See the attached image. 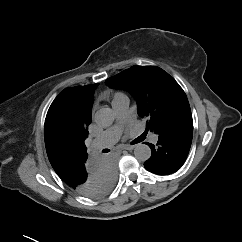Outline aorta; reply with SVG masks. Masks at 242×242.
<instances>
[{
	"label": "aorta",
	"instance_id": "1",
	"mask_svg": "<svg viewBox=\"0 0 242 242\" xmlns=\"http://www.w3.org/2000/svg\"><path fill=\"white\" fill-rule=\"evenodd\" d=\"M94 119L99 126L106 128L113 123L115 113L111 108H101L95 113ZM134 155L139 161H147L151 157V149L146 144L138 143L135 145Z\"/></svg>",
	"mask_w": 242,
	"mask_h": 242
}]
</instances>
